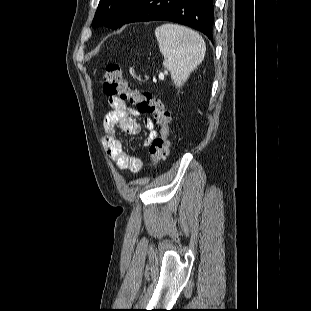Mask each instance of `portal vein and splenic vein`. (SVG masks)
I'll use <instances>...</instances> for the list:
<instances>
[{
	"label": "portal vein and splenic vein",
	"instance_id": "1",
	"mask_svg": "<svg viewBox=\"0 0 311 311\" xmlns=\"http://www.w3.org/2000/svg\"><path fill=\"white\" fill-rule=\"evenodd\" d=\"M159 78H160V79H163V78H164V75H163V74H160Z\"/></svg>",
	"mask_w": 311,
	"mask_h": 311
}]
</instances>
